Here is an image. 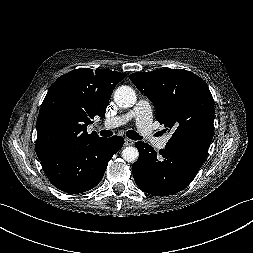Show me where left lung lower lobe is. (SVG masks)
<instances>
[{"instance_id":"0a47b994","label":"left lung lower lobe","mask_w":253,"mask_h":253,"mask_svg":"<svg viewBox=\"0 0 253 253\" xmlns=\"http://www.w3.org/2000/svg\"><path fill=\"white\" fill-rule=\"evenodd\" d=\"M139 158L133 163L137 186L154 196H167L186 188L204 163L208 148L191 146L165 147L156 151L147 143L136 142Z\"/></svg>"}]
</instances>
